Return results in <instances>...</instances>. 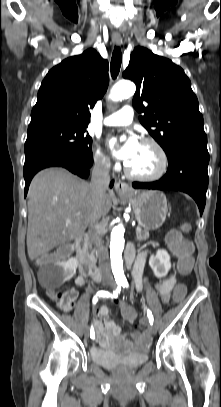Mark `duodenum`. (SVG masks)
Instances as JSON below:
<instances>
[{
  "label": "duodenum",
  "mask_w": 221,
  "mask_h": 407,
  "mask_svg": "<svg viewBox=\"0 0 221 407\" xmlns=\"http://www.w3.org/2000/svg\"><path fill=\"white\" fill-rule=\"evenodd\" d=\"M76 251L79 264V270L82 275L90 276L95 281L101 279L100 270L96 267L94 262L87 256V247L88 240L85 234H81L77 237L76 242ZM133 260V250L128 249L126 252V261L128 264H131Z\"/></svg>",
  "instance_id": "obj_1"
}]
</instances>
